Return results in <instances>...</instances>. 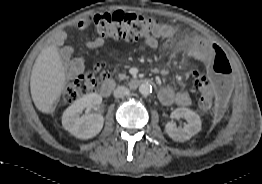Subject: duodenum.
Returning a JSON list of instances; mask_svg holds the SVG:
<instances>
[{
    "label": "duodenum",
    "mask_w": 262,
    "mask_h": 184,
    "mask_svg": "<svg viewBox=\"0 0 262 184\" xmlns=\"http://www.w3.org/2000/svg\"><path fill=\"white\" fill-rule=\"evenodd\" d=\"M116 85L117 82L114 79H106L100 86L101 95L104 97L110 96ZM143 85H153V82L147 78L132 79L128 82V86L133 89Z\"/></svg>",
    "instance_id": "1"
}]
</instances>
